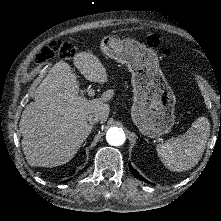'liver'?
<instances>
[{
    "mask_svg": "<svg viewBox=\"0 0 221 221\" xmlns=\"http://www.w3.org/2000/svg\"><path fill=\"white\" fill-rule=\"evenodd\" d=\"M74 65L89 81L108 82L106 68L97 56L80 52ZM79 82L70 65L56 63L36 88L33 102L26 105L19 122L22 149L30 166L56 167L69 162L89 136L87 117H109V104L101 98L87 100L78 95Z\"/></svg>",
    "mask_w": 221,
    "mask_h": 221,
    "instance_id": "1",
    "label": "liver"
}]
</instances>
